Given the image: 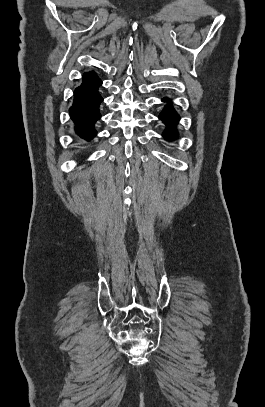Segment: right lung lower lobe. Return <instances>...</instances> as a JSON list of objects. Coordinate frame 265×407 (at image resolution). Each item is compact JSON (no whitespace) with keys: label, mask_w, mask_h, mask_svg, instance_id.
<instances>
[{"label":"right lung lower lobe","mask_w":265,"mask_h":407,"mask_svg":"<svg viewBox=\"0 0 265 407\" xmlns=\"http://www.w3.org/2000/svg\"><path fill=\"white\" fill-rule=\"evenodd\" d=\"M101 84L102 81L94 72H85L81 85L74 91V101L69 112L76 134L86 141H90L97 133L94 124L101 117L99 105L103 98L98 92Z\"/></svg>","instance_id":"right-lung-lower-lobe-1"}]
</instances>
